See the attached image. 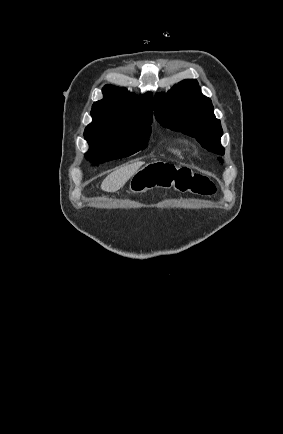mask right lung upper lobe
<instances>
[{"instance_id":"1","label":"right lung upper lobe","mask_w":283,"mask_h":434,"mask_svg":"<svg viewBox=\"0 0 283 434\" xmlns=\"http://www.w3.org/2000/svg\"><path fill=\"white\" fill-rule=\"evenodd\" d=\"M104 99L94 102L93 121L86 128L108 129L152 123L153 95L135 96L124 88L106 85Z\"/></svg>"}]
</instances>
